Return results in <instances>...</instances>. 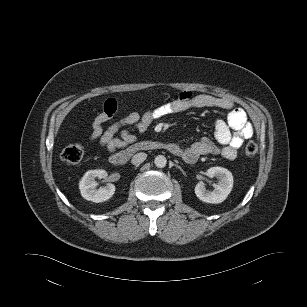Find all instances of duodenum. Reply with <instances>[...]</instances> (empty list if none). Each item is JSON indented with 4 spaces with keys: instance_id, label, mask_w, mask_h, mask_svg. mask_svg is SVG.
Segmentation results:
<instances>
[{
    "instance_id": "410a0bca",
    "label": "duodenum",
    "mask_w": 307,
    "mask_h": 307,
    "mask_svg": "<svg viewBox=\"0 0 307 307\" xmlns=\"http://www.w3.org/2000/svg\"><path fill=\"white\" fill-rule=\"evenodd\" d=\"M164 148L163 143L159 141H141L130 145L125 150L110 156L109 161L115 167H122L127 164L129 159L136 153L148 152Z\"/></svg>"
}]
</instances>
